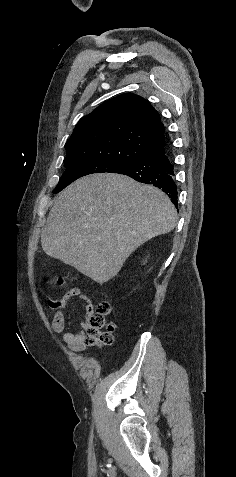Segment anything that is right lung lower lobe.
Returning a JSON list of instances; mask_svg holds the SVG:
<instances>
[{"mask_svg": "<svg viewBox=\"0 0 236 477\" xmlns=\"http://www.w3.org/2000/svg\"><path fill=\"white\" fill-rule=\"evenodd\" d=\"M114 173L127 175L138 182L152 184L160 188L177 206L178 192L173 179V165L165 145L141 159L119 168Z\"/></svg>", "mask_w": 236, "mask_h": 477, "instance_id": "right-lung-lower-lobe-1", "label": "right lung lower lobe"}]
</instances>
